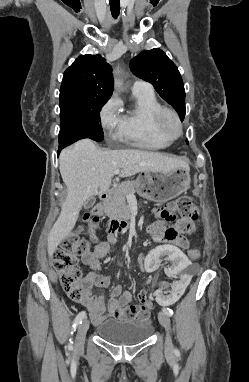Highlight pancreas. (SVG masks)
Here are the masks:
<instances>
[{"label":"pancreas","mask_w":249,"mask_h":382,"mask_svg":"<svg viewBox=\"0 0 249 382\" xmlns=\"http://www.w3.org/2000/svg\"><path fill=\"white\" fill-rule=\"evenodd\" d=\"M137 183L135 181H125L114 189H112L110 196L105 202V213L110 218H124L130 217V210L126 204V196L129 193H134Z\"/></svg>","instance_id":"1"}]
</instances>
